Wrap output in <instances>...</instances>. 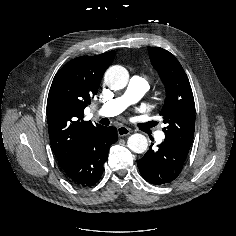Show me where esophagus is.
<instances>
[{
	"mask_svg": "<svg viewBox=\"0 0 236 236\" xmlns=\"http://www.w3.org/2000/svg\"><path fill=\"white\" fill-rule=\"evenodd\" d=\"M117 132L120 137H123L129 135L131 130L126 126H120L117 128Z\"/></svg>",
	"mask_w": 236,
	"mask_h": 236,
	"instance_id": "esophagus-1",
	"label": "esophagus"
}]
</instances>
